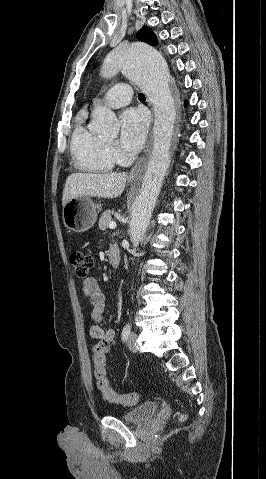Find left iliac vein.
<instances>
[{"label": "left iliac vein", "instance_id": "left-iliac-vein-1", "mask_svg": "<svg viewBox=\"0 0 266 479\" xmlns=\"http://www.w3.org/2000/svg\"><path fill=\"white\" fill-rule=\"evenodd\" d=\"M137 337L135 332H131L127 338V346L134 353L138 352Z\"/></svg>", "mask_w": 266, "mask_h": 479}]
</instances>
